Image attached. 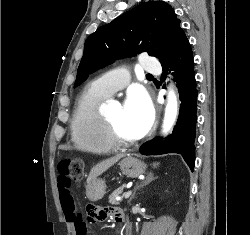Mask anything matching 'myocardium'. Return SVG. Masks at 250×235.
Segmentation results:
<instances>
[{"label":"myocardium","instance_id":"1","mask_svg":"<svg viewBox=\"0 0 250 235\" xmlns=\"http://www.w3.org/2000/svg\"><path fill=\"white\" fill-rule=\"evenodd\" d=\"M103 118L106 124L107 134L109 140L116 148H130L137 145L140 140L136 139L133 141L125 140L119 133L115 123L107 115L103 114Z\"/></svg>","mask_w":250,"mask_h":235}]
</instances>
